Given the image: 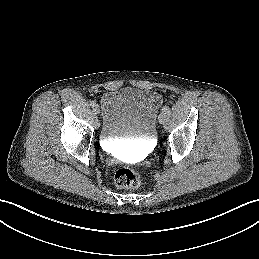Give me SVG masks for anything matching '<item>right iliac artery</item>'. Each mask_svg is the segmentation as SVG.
Wrapping results in <instances>:
<instances>
[{
  "label": "right iliac artery",
  "mask_w": 259,
  "mask_h": 259,
  "mask_svg": "<svg viewBox=\"0 0 259 259\" xmlns=\"http://www.w3.org/2000/svg\"><path fill=\"white\" fill-rule=\"evenodd\" d=\"M90 105H91L92 107H94V106L96 105V103H95L94 101H91V102H90Z\"/></svg>",
  "instance_id": "82829eb1"
}]
</instances>
